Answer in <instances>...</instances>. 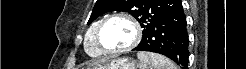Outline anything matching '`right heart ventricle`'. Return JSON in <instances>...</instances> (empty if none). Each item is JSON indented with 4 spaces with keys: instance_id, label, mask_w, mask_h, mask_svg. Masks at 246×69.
<instances>
[{
    "instance_id": "1",
    "label": "right heart ventricle",
    "mask_w": 246,
    "mask_h": 69,
    "mask_svg": "<svg viewBox=\"0 0 246 69\" xmlns=\"http://www.w3.org/2000/svg\"><path fill=\"white\" fill-rule=\"evenodd\" d=\"M104 18V17H103ZM103 18H100L92 23V25L89 27V29L86 32L85 35V50L87 53L91 56H99L102 54V51L99 49L96 39H95V31L97 26L100 24V22L103 20Z\"/></svg>"
}]
</instances>
